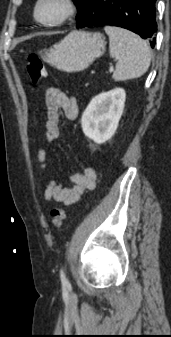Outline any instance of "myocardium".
<instances>
[{"mask_svg": "<svg viewBox=\"0 0 171 337\" xmlns=\"http://www.w3.org/2000/svg\"><path fill=\"white\" fill-rule=\"evenodd\" d=\"M47 0H36L33 6V17L35 21L43 27L54 28L63 25L78 11V3L76 0H55L63 7V12L59 18L54 21H45L38 17V11L41 5Z\"/></svg>", "mask_w": 171, "mask_h": 337, "instance_id": "myocardium-1", "label": "myocardium"}]
</instances>
